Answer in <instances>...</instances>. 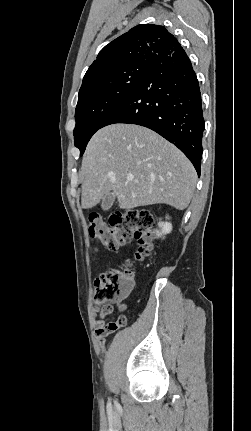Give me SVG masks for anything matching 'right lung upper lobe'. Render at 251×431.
I'll use <instances>...</instances> for the list:
<instances>
[{
    "mask_svg": "<svg viewBox=\"0 0 251 431\" xmlns=\"http://www.w3.org/2000/svg\"><path fill=\"white\" fill-rule=\"evenodd\" d=\"M181 49L180 43L164 26H135L99 52L83 78L80 91L131 64H148L151 56L172 54Z\"/></svg>",
    "mask_w": 251,
    "mask_h": 431,
    "instance_id": "obj_1",
    "label": "right lung upper lobe"
}]
</instances>
